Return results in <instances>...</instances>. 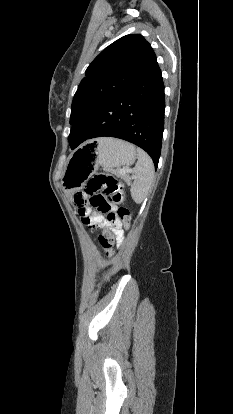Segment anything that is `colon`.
<instances>
[{"instance_id": "5ec220e1", "label": "colon", "mask_w": 233, "mask_h": 414, "mask_svg": "<svg viewBox=\"0 0 233 414\" xmlns=\"http://www.w3.org/2000/svg\"><path fill=\"white\" fill-rule=\"evenodd\" d=\"M74 204L78 209L84 211V207L90 203L91 206L107 215V220L114 217L120 219L123 225L128 228L131 221L129 209L122 204L123 200V184L115 177L108 174H96L87 183L84 192L74 195ZM117 206L116 211L112 212L111 205ZM101 247L107 255H110L114 247V238L112 234L105 230L99 237ZM109 274L105 272L100 277V283L104 284L108 281Z\"/></svg>"}]
</instances>
